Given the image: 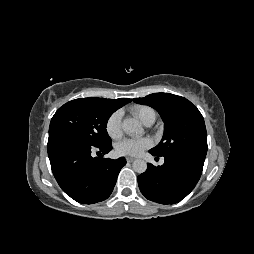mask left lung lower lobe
Listing matches in <instances>:
<instances>
[{
    "label": "left lung lower lobe",
    "mask_w": 254,
    "mask_h": 254,
    "mask_svg": "<svg viewBox=\"0 0 254 254\" xmlns=\"http://www.w3.org/2000/svg\"><path fill=\"white\" fill-rule=\"evenodd\" d=\"M149 152L158 156L151 150ZM163 157L165 162L162 166L147 164V170L138 176V185L148 200L160 204H175L184 199L196 186L206 154L181 151Z\"/></svg>",
    "instance_id": "left-lung-lower-lobe-1"
}]
</instances>
